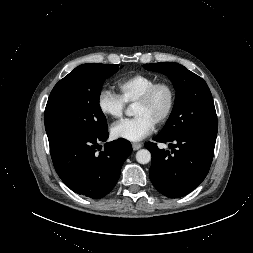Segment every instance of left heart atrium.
I'll use <instances>...</instances> for the list:
<instances>
[{
    "mask_svg": "<svg viewBox=\"0 0 253 253\" xmlns=\"http://www.w3.org/2000/svg\"><path fill=\"white\" fill-rule=\"evenodd\" d=\"M154 128L155 123L149 118L136 116L133 119L123 120L112 125L111 134L115 138L137 142L150 135Z\"/></svg>",
    "mask_w": 253,
    "mask_h": 253,
    "instance_id": "obj_1",
    "label": "left heart atrium"
}]
</instances>
